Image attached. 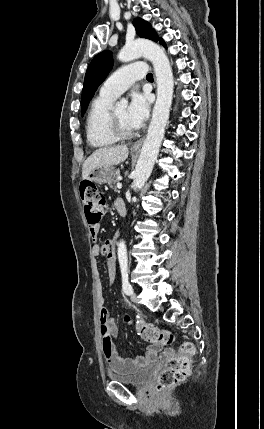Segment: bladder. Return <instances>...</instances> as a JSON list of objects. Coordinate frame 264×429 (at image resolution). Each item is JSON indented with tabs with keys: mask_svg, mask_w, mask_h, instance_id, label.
Listing matches in <instances>:
<instances>
[{
	"mask_svg": "<svg viewBox=\"0 0 264 429\" xmlns=\"http://www.w3.org/2000/svg\"><path fill=\"white\" fill-rule=\"evenodd\" d=\"M156 368L148 366L132 373L120 374L115 372H108V378L126 385L142 386L147 383L154 375Z\"/></svg>",
	"mask_w": 264,
	"mask_h": 429,
	"instance_id": "bladder-1",
	"label": "bladder"
}]
</instances>
